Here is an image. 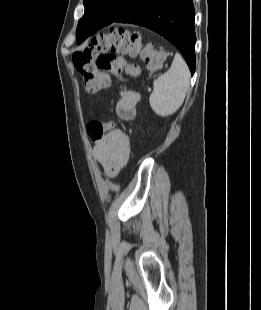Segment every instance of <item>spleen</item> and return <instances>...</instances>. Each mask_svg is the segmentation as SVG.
<instances>
[{"label": "spleen", "instance_id": "1", "mask_svg": "<svg viewBox=\"0 0 261 310\" xmlns=\"http://www.w3.org/2000/svg\"><path fill=\"white\" fill-rule=\"evenodd\" d=\"M190 83L189 68L176 53L170 69L154 80L149 97L152 110L161 117L175 113L183 104Z\"/></svg>", "mask_w": 261, "mask_h": 310}]
</instances>
